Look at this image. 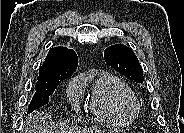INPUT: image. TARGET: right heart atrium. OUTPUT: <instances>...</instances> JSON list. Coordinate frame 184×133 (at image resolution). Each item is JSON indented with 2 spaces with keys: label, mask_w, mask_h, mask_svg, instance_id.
<instances>
[{
  "label": "right heart atrium",
  "mask_w": 184,
  "mask_h": 133,
  "mask_svg": "<svg viewBox=\"0 0 184 133\" xmlns=\"http://www.w3.org/2000/svg\"><path fill=\"white\" fill-rule=\"evenodd\" d=\"M82 92V83L79 79L73 80L68 88V93L71 98V101L73 102L74 105H76L77 100L79 98V95Z\"/></svg>",
  "instance_id": "obj_1"
}]
</instances>
